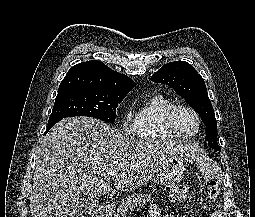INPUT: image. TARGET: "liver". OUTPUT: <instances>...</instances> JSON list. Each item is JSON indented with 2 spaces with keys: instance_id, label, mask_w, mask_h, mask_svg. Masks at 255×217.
<instances>
[{
  "instance_id": "6515ba94",
  "label": "liver",
  "mask_w": 255,
  "mask_h": 217,
  "mask_svg": "<svg viewBox=\"0 0 255 217\" xmlns=\"http://www.w3.org/2000/svg\"><path fill=\"white\" fill-rule=\"evenodd\" d=\"M191 144L135 140L90 117L58 122L37 154L30 196L32 217H75L83 200L106 194L113 184L127 192L145 186L171 158H199Z\"/></svg>"
}]
</instances>
